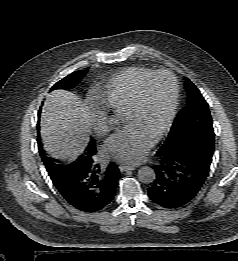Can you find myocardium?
<instances>
[{
    "label": "myocardium",
    "instance_id": "obj_1",
    "mask_svg": "<svg viewBox=\"0 0 238 261\" xmlns=\"http://www.w3.org/2000/svg\"><path fill=\"white\" fill-rule=\"evenodd\" d=\"M159 75H167L170 77V79L172 81L173 90H172V99H171L169 112L167 114V117H166L163 125L155 133V135L153 137L154 141L159 140L169 130V128L171 127V125L175 119L178 102H179V83H178V79H177L176 75L168 69H160V70L152 71L151 73H149L139 83V85L136 89L134 99L126 112V115H127L130 113H134L140 109L142 102H143L144 91H145L147 84L149 83V81L151 79H153L154 77L159 76Z\"/></svg>",
    "mask_w": 238,
    "mask_h": 261
}]
</instances>
